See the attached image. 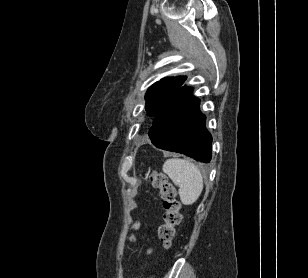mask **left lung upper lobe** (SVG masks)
Listing matches in <instances>:
<instances>
[{
	"label": "left lung upper lobe",
	"mask_w": 308,
	"mask_h": 278,
	"mask_svg": "<svg viewBox=\"0 0 308 278\" xmlns=\"http://www.w3.org/2000/svg\"><path fill=\"white\" fill-rule=\"evenodd\" d=\"M186 78V76L165 77L150 86L145 95L147 115L156 116L180 90Z\"/></svg>",
	"instance_id": "obj_1"
}]
</instances>
